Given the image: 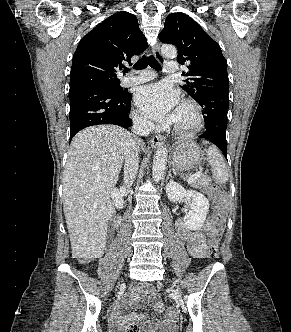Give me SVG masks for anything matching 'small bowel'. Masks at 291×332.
Listing matches in <instances>:
<instances>
[{
	"label": "small bowel",
	"instance_id": "c3829d8e",
	"mask_svg": "<svg viewBox=\"0 0 291 332\" xmlns=\"http://www.w3.org/2000/svg\"><path fill=\"white\" fill-rule=\"evenodd\" d=\"M221 233V227L216 225L212 220H208L202 230L190 231L183 224L179 226V235L187 243L188 251L193 258L201 259L206 256L208 249L207 235L210 240L217 241ZM131 302L144 304L152 302L153 308L157 312L164 310V305L156 298L152 288L134 289L131 294ZM116 323L122 325L127 321L143 320L142 315L131 314L129 316H120L119 313L114 315ZM145 329L151 332H168L172 328V321L168 318L163 321L150 320L145 322Z\"/></svg>",
	"mask_w": 291,
	"mask_h": 332
}]
</instances>
